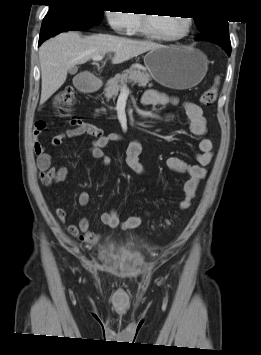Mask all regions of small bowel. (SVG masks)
I'll return each mask as SVG.
<instances>
[{"label": "small bowel", "instance_id": "obj_1", "mask_svg": "<svg viewBox=\"0 0 261 355\" xmlns=\"http://www.w3.org/2000/svg\"><path fill=\"white\" fill-rule=\"evenodd\" d=\"M143 103L146 105L181 104L189 120L190 132L193 136L198 138L196 143L197 152L194 155L195 164H188L175 156H169L166 159V163L171 169L184 172L187 175L183 184L182 200L179 203V208L181 210L187 209L195 197L200 180L206 176V166L210 164L213 157L212 143L208 138L204 137L207 133L208 125L203 110L194 102H180L176 97L154 89H149L145 92ZM173 117V114L167 116L169 120ZM40 122L43 124L38 126L37 124ZM70 125V129L55 135L51 139V146H60L66 138L89 135L92 137V144L89 148L90 155L95 159L101 160L104 166H109L112 159L104 153V148L111 143L121 141V135L116 133L104 134L100 128L81 119H72ZM46 126L44 121H38L35 123L32 132V141L34 152L36 154L37 167L40 171V181L43 185L51 187L63 182L67 178L68 169L66 167H53L51 165V154L39 142V136ZM141 152V141L138 139L131 140L126 149V163L130 169L138 175H144L147 172L146 168L140 161ZM90 199L91 196L87 191H82L78 197L81 206H87L90 203ZM55 214L62 223L66 222L67 209L65 207H58L55 210ZM100 221L111 228L128 230L139 227L142 224L143 218L140 215H136L130 216L124 221H120L117 211L115 209H110L100 215ZM67 230L70 235L77 237L79 240L90 245L97 243L100 238L99 234L90 230V221L87 217L78 218L75 223L68 226Z\"/></svg>", "mask_w": 261, "mask_h": 355}]
</instances>
